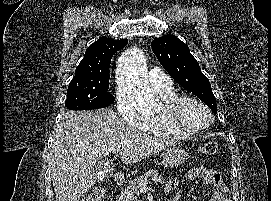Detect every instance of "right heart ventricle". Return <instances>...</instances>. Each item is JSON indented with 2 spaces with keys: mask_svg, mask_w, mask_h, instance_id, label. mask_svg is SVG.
Wrapping results in <instances>:
<instances>
[{
  "mask_svg": "<svg viewBox=\"0 0 271 201\" xmlns=\"http://www.w3.org/2000/svg\"><path fill=\"white\" fill-rule=\"evenodd\" d=\"M158 92L162 98L175 94L171 87L158 89ZM142 130L154 136L169 139H181L191 135L189 133L174 129L169 124L164 122V120L158 114L149 116L148 121Z\"/></svg>",
  "mask_w": 271,
  "mask_h": 201,
  "instance_id": "e07e8e85",
  "label": "right heart ventricle"
}]
</instances>
